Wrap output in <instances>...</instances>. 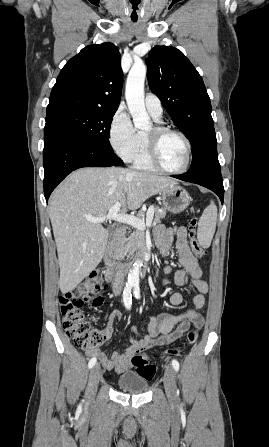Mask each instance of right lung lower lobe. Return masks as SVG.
I'll return each mask as SVG.
<instances>
[{
	"label": "right lung lower lobe",
	"mask_w": 269,
	"mask_h": 447,
	"mask_svg": "<svg viewBox=\"0 0 269 447\" xmlns=\"http://www.w3.org/2000/svg\"><path fill=\"white\" fill-rule=\"evenodd\" d=\"M43 165L44 195L48 202L51 192L73 170L121 166L123 162L113 150L77 137L66 129L46 124Z\"/></svg>",
	"instance_id": "right-lung-lower-lobe-1"
}]
</instances>
